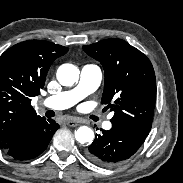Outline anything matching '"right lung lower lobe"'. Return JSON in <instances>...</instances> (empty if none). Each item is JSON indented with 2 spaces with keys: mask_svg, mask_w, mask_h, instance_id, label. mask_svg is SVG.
<instances>
[{
  "mask_svg": "<svg viewBox=\"0 0 183 183\" xmlns=\"http://www.w3.org/2000/svg\"><path fill=\"white\" fill-rule=\"evenodd\" d=\"M59 125L43 117L25 123L17 132L12 144L3 149L17 160H28L39 156L48 146Z\"/></svg>",
  "mask_w": 183,
  "mask_h": 183,
  "instance_id": "1",
  "label": "right lung lower lobe"
}]
</instances>
